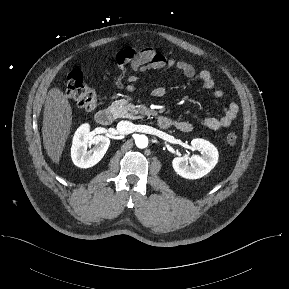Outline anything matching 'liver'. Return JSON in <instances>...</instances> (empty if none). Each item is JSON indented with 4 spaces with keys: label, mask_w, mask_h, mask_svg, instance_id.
<instances>
[{
    "label": "liver",
    "mask_w": 289,
    "mask_h": 289,
    "mask_svg": "<svg viewBox=\"0 0 289 289\" xmlns=\"http://www.w3.org/2000/svg\"><path fill=\"white\" fill-rule=\"evenodd\" d=\"M72 125V108L59 88L49 90L45 101L42 126L43 144L47 155L59 164Z\"/></svg>",
    "instance_id": "obj_1"
}]
</instances>
